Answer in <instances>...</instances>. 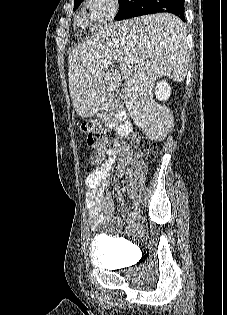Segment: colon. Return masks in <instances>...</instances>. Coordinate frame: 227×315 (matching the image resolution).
Here are the masks:
<instances>
[{
    "mask_svg": "<svg viewBox=\"0 0 227 315\" xmlns=\"http://www.w3.org/2000/svg\"><path fill=\"white\" fill-rule=\"evenodd\" d=\"M81 131L86 136L88 146L97 149L103 147L105 141L104 133L95 126L93 121H83L81 123ZM133 143L136 148L147 157H153L156 154L157 148L152 140L135 135L133 137Z\"/></svg>",
    "mask_w": 227,
    "mask_h": 315,
    "instance_id": "5ec220e1",
    "label": "colon"
}]
</instances>
